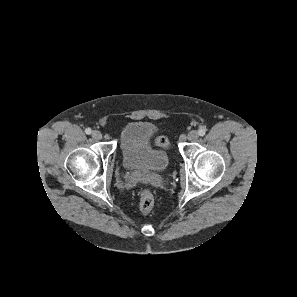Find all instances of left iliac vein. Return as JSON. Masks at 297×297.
<instances>
[{
	"mask_svg": "<svg viewBox=\"0 0 297 297\" xmlns=\"http://www.w3.org/2000/svg\"><path fill=\"white\" fill-rule=\"evenodd\" d=\"M198 137H199L198 132L195 130L190 131L187 136L189 141H196Z\"/></svg>",
	"mask_w": 297,
	"mask_h": 297,
	"instance_id": "left-iliac-vein-1",
	"label": "left iliac vein"
}]
</instances>
